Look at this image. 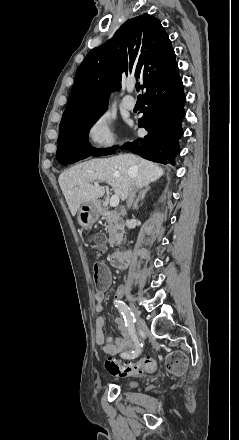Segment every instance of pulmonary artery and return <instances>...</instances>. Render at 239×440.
Returning a JSON list of instances; mask_svg holds the SVG:
<instances>
[{"mask_svg": "<svg viewBox=\"0 0 239 440\" xmlns=\"http://www.w3.org/2000/svg\"><path fill=\"white\" fill-rule=\"evenodd\" d=\"M135 88L133 84H129L127 87V94L124 96L121 100V105L128 110H132L135 107V102L133 100H130L132 98V93L134 92Z\"/></svg>", "mask_w": 239, "mask_h": 440, "instance_id": "1", "label": "pulmonary artery"}]
</instances>
